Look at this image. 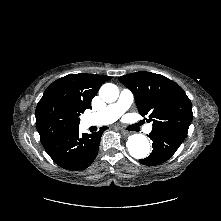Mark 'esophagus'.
<instances>
[{"label": "esophagus", "instance_id": "1", "mask_svg": "<svg viewBox=\"0 0 221 221\" xmlns=\"http://www.w3.org/2000/svg\"><path fill=\"white\" fill-rule=\"evenodd\" d=\"M121 132H122V133H123V135H125V136H128V135L132 134V132H131V131L124 130V129H121Z\"/></svg>", "mask_w": 221, "mask_h": 221}]
</instances>
